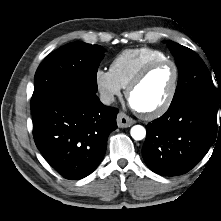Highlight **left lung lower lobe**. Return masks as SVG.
I'll use <instances>...</instances> for the list:
<instances>
[{
  "label": "left lung lower lobe",
  "instance_id": "left-lung-lower-lobe-1",
  "mask_svg": "<svg viewBox=\"0 0 221 221\" xmlns=\"http://www.w3.org/2000/svg\"><path fill=\"white\" fill-rule=\"evenodd\" d=\"M216 108L199 98L171 104L146 126L142 148L146 165L163 176L182 175L195 167L216 139Z\"/></svg>",
  "mask_w": 221,
  "mask_h": 221
}]
</instances>
